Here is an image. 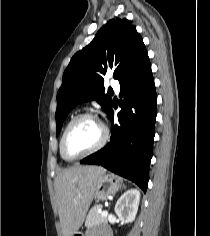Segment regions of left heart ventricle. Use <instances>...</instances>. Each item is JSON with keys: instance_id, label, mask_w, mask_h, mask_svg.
Segmentation results:
<instances>
[{"instance_id": "b2bd125f", "label": "left heart ventricle", "mask_w": 210, "mask_h": 236, "mask_svg": "<svg viewBox=\"0 0 210 236\" xmlns=\"http://www.w3.org/2000/svg\"><path fill=\"white\" fill-rule=\"evenodd\" d=\"M102 128L91 118L77 121L69 130L65 140V153L68 157H76L93 148L101 139Z\"/></svg>"}]
</instances>
